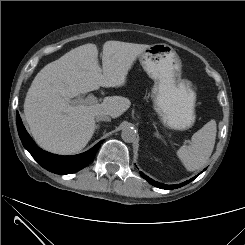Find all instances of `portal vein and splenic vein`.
Wrapping results in <instances>:
<instances>
[{"label": "portal vein and splenic vein", "instance_id": "portal-vein-and-splenic-vein-1", "mask_svg": "<svg viewBox=\"0 0 245 245\" xmlns=\"http://www.w3.org/2000/svg\"><path fill=\"white\" fill-rule=\"evenodd\" d=\"M98 101L99 100L96 96H94L93 94H90L85 99H83V98L75 99L73 102L92 105V104H98Z\"/></svg>", "mask_w": 245, "mask_h": 245}]
</instances>
